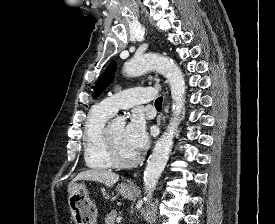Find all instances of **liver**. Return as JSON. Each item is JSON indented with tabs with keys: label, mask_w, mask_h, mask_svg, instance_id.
I'll return each mask as SVG.
<instances>
[{
	"label": "liver",
	"mask_w": 275,
	"mask_h": 224,
	"mask_svg": "<svg viewBox=\"0 0 275 224\" xmlns=\"http://www.w3.org/2000/svg\"><path fill=\"white\" fill-rule=\"evenodd\" d=\"M78 180L95 181L105 184L107 187H112L119 180V175L107 170L90 169L80 172L71 183L68 185V192L71 189L73 182Z\"/></svg>",
	"instance_id": "obj_1"
}]
</instances>
